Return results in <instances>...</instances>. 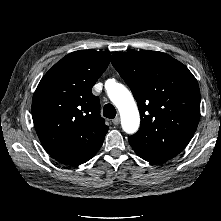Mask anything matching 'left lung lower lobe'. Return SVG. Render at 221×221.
I'll list each match as a JSON object with an SVG mask.
<instances>
[{"label": "left lung lower lobe", "mask_w": 221, "mask_h": 221, "mask_svg": "<svg viewBox=\"0 0 221 221\" xmlns=\"http://www.w3.org/2000/svg\"><path fill=\"white\" fill-rule=\"evenodd\" d=\"M142 159L151 162V163H164L166 162L168 159L167 158H163V157H157V156H148V155H142L137 153Z\"/></svg>", "instance_id": "left-lung-lower-lobe-1"}]
</instances>
